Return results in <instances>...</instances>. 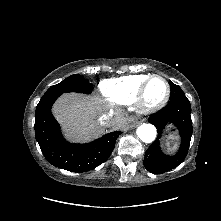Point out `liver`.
<instances>
[{
    "instance_id": "6515ba94",
    "label": "liver",
    "mask_w": 221,
    "mask_h": 221,
    "mask_svg": "<svg viewBox=\"0 0 221 221\" xmlns=\"http://www.w3.org/2000/svg\"><path fill=\"white\" fill-rule=\"evenodd\" d=\"M109 109V104L99 96L69 93L58 99L52 111L69 139L85 142L104 132L105 126L99 118L103 113H108ZM127 124V118L117 111L109 126L123 129Z\"/></svg>"
}]
</instances>
